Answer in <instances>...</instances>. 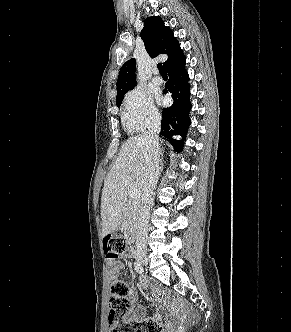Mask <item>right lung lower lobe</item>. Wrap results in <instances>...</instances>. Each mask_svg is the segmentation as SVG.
Returning a JSON list of instances; mask_svg holds the SVG:
<instances>
[{
	"mask_svg": "<svg viewBox=\"0 0 291 332\" xmlns=\"http://www.w3.org/2000/svg\"><path fill=\"white\" fill-rule=\"evenodd\" d=\"M186 58L183 56L166 70L169 80L166 83L164 93L170 92L174 100L171 107L163 108L160 134L169 139L173 146L180 151L183 148V140H175L173 135L186 137L190 126L189 112L191 110L189 76L185 70Z\"/></svg>",
	"mask_w": 291,
	"mask_h": 332,
	"instance_id": "obj_1",
	"label": "right lung lower lobe"
}]
</instances>
